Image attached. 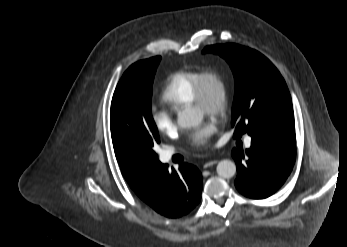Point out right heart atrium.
Instances as JSON below:
<instances>
[{
	"mask_svg": "<svg viewBox=\"0 0 347 247\" xmlns=\"http://www.w3.org/2000/svg\"><path fill=\"white\" fill-rule=\"evenodd\" d=\"M151 121L155 129L163 135H171L176 131L173 117L164 109H153L151 111Z\"/></svg>",
	"mask_w": 347,
	"mask_h": 247,
	"instance_id": "d8ad5b80",
	"label": "right heart atrium"
}]
</instances>
